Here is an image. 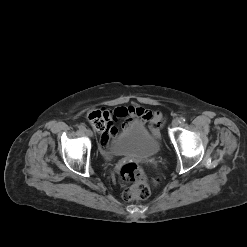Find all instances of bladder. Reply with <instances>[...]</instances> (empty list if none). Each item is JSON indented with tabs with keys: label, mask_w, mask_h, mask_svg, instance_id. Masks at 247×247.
<instances>
[{
	"label": "bladder",
	"mask_w": 247,
	"mask_h": 247,
	"mask_svg": "<svg viewBox=\"0 0 247 247\" xmlns=\"http://www.w3.org/2000/svg\"><path fill=\"white\" fill-rule=\"evenodd\" d=\"M160 149L159 141L141 125H132L116 135L108 151L115 156H153Z\"/></svg>",
	"instance_id": "bladder-1"
}]
</instances>
